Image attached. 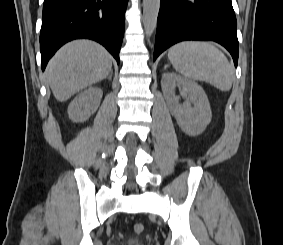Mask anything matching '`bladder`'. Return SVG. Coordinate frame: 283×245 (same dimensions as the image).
Returning a JSON list of instances; mask_svg holds the SVG:
<instances>
[{
  "label": "bladder",
  "mask_w": 283,
  "mask_h": 245,
  "mask_svg": "<svg viewBox=\"0 0 283 245\" xmlns=\"http://www.w3.org/2000/svg\"><path fill=\"white\" fill-rule=\"evenodd\" d=\"M129 245H141V240L138 238H133L129 241Z\"/></svg>",
  "instance_id": "31cf9c89"
}]
</instances>
